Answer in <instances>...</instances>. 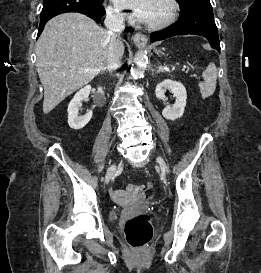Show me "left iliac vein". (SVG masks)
I'll return each mask as SVG.
<instances>
[{
    "label": "left iliac vein",
    "instance_id": "obj_1",
    "mask_svg": "<svg viewBox=\"0 0 261 273\" xmlns=\"http://www.w3.org/2000/svg\"><path fill=\"white\" fill-rule=\"evenodd\" d=\"M156 161H157V163L160 165L163 174H168L169 168H168L167 163L164 161V159L161 158V157H158V158L156 159Z\"/></svg>",
    "mask_w": 261,
    "mask_h": 273
}]
</instances>
